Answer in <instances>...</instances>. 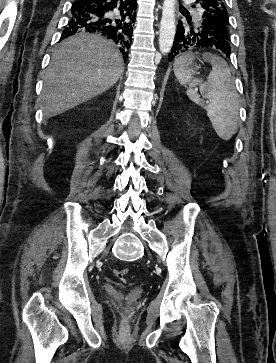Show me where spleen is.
<instances>
[{
  "label": "spleen",
  "instance_id": "obj_1",
  "mask_svg": "<svg viewBox=\"0 0 276 363\" xmlns=\"http://www.w3.org/2000/svg\"><path fill=\"white\" fill-rule=\"evenodd\" d=\"M202 58L212 65L206 82L203 83L200 79L192 80V75L186 68L187 64L195 59L193 54H185L176 59L173 66L174 74L181 85H189L187 96L207 111L217 135L228 141L238 129L239 96L227 62L211 53H204ZM197 85L201 96L210 102L208 105L203 104L196 89H193Z\"/></svg>",
  "mask_w": 276,
  "mask_h": 363
}]
</instances>
